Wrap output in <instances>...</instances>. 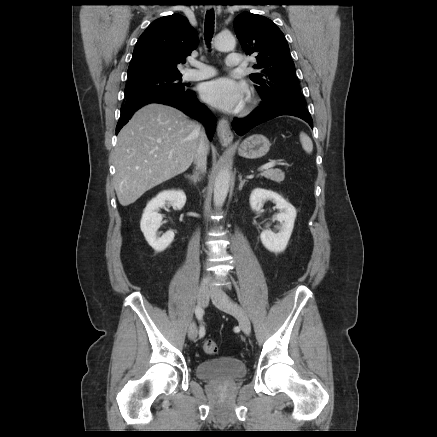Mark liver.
Returning a JSON list of instances; mask_svg holds the SVG:
<instances>
[{
  "label": "liver",
  "mask_w": 437,
  "mask_h": 437,
  "mask_svg": "<svg viewBox=\"0 0 437 437\" xmlns=\"http://www.w3.org/2000/svg\"><path fill=\"white\" fill-rule=\"evenodd\" d=\"M200 126L176 108L148 104L120 130L114 149V188L122 206L185 172L195 159Z\"/></svg>",
  "instance_id": "1"
}]
</instances>
